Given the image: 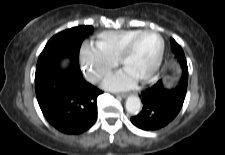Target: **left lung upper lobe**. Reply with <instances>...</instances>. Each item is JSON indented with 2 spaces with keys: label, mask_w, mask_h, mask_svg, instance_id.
Wrapping results in <instances>:
<instances>
[{
  "label": "left lung upper lobe",
  "mask_w": 225,
  "mask_h": 155,
  "mask_svg": "<svg viewBox=\"0 0 225 155\" xmlns=\"http://www.w3.org/2000/svg\"><path fill=\"white\" fill-rule=\"evenodd\" d=\"M171 42H172V51L177 56L178 61L180 62L182 70H183L181 81L188 82V67H187V62H186L184 52L181 46L174 39H172Z\"/></svg>",
  "instance_id": "1"
}]
</instances>
